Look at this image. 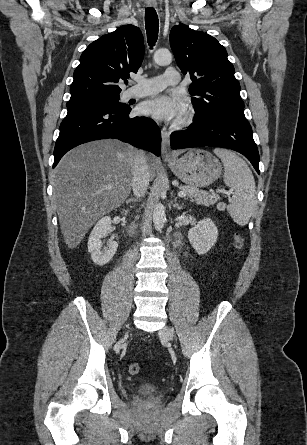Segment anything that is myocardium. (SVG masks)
I'll return each instance as SVG.
<instances>
[{
	"mask_svg": "<svg viewBox=\"0 0 307 445\" xmlns=\"http://www.w3.org/2000/svg\"><path fill=\"white\" fill-rule=\"evenodd\" d=\"M195 115H196V113H195L194 110H189V111L185 114L183 120H182L181 122H179L177 126H178V127H184V126L188 125V124L193 120V118L195 117Z\"/></svg>",
	"mask_w": 307,
	"mask_h": 445,
	"instance_id": "1",
	"label": "myocardium"
}]
</instances>
